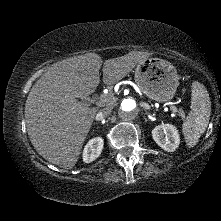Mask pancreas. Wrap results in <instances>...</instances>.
Instances as JSON below:
<instances>
[{
  "label": "pancreas",
  "mask_w": 221,
  "mask_h": 221,
  "mask_svg": "<svg viewBox=\"0 0 221 221\" xmlns=\"http://www.w3.org/2000/svg\"><path fill=\"white\" fill-rule=\"evenodd\" d=\"M105 96H106V98L108 99V100H107V103L110 104V105H112V104L114 103L113 94H112V93H109V94H107V95H105ZM180 115H181V117H184V113H183V112H181Z\"/></svg>",
  "instance_id": "1"
}]
</instances>
